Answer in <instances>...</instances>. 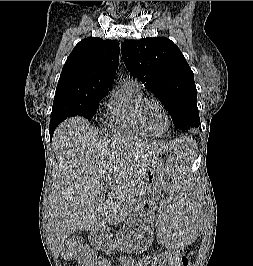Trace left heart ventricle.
Returning <instances> with one entry per match:
<instances>
[{"mask_svg": "<svg viewBox=\"0 0 253 266\" xmlns=\"http://www.w3.org/2000/svg\"><path fill=\"white\" fill-rule=\"evenodd\" d=\"M144 125L154 134H163L167 128V120L162 109L155 103H148L142 113Z\"/></svg>", "mask_w": 253, "mask_h": 266, "instance_id": "b2bd125f", "label": "left heart ventricle"}]
</instances>
